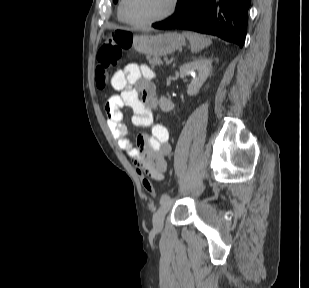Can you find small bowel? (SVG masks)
<instances>
[{
    "instance_id": "small-bowel-1",
    "label": "small bowel",
    "mask_w": 309,
    "mask_h": 288,
    "mask_svg": "<svg viewBox=\"0 0 309 288\" xmlns=\"http://www.w3.org/2000/svg\"><path fill=\"white\" fill-rule=\"evenodd\" d=\"M152 71L144 65L127 64L112 77V87L118 91L106 104V123L119 148L134 162L135 167L154 180H161L167 169L166 158L172 147L169 131L153 122V111L158 106ZM123 106L133 111L132 122L138 127H150V135L142 134L134 142L129 138V128L121 113Z\"/></svg>"
}]
</instances>
